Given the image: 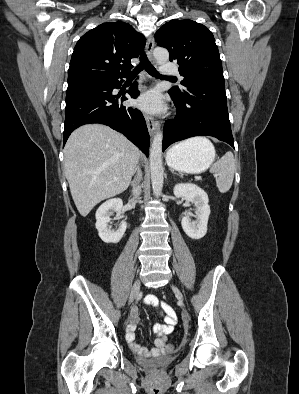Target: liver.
I'll return each instance as SVG.
<instances>
[{
    "instance_id": "1",
    "label": "liver",
    "mask_w": 299,
    "mask_h": 394,
    "mask_svg": "<svg viewBox=\"0 0 299 394\" xmlns=\"http://www.w3.org/2000/svg\"><path fill=\"white\" fill-rule=\"evenodd\" d=\"M140 157L133 143L105 125L76 129L64 148V171L79 213L86 217L101 201L124 192Z\"/></svg>"
}]
</instances>
